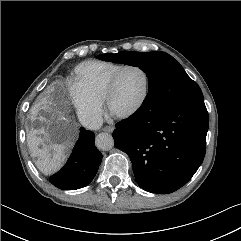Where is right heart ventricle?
I'll return each instance as SVG.
<instances>
[{
    "label": "right heart ventricle",
    "mask_w": 241,
    "mask_h": 241,
    "mask_svg": "<svg viewBox=\"0 0 241 241\" xmlns=\"http://www.w3.org/2000/svg\"><path fill=\"white\" fill-rule=\"evenodd\" d=\"M124 64L114 62H86L76 69V83L92 98L104 101L108 83L114 73Z\"/></svg>",
    "instance_id": "right-heart-ventricle-1"
}]
</instances>
